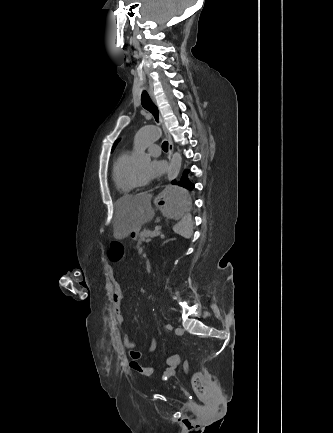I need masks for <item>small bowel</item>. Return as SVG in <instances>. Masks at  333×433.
Masks as SVG:
<instances>
[{
	"label": "small bowel",
	"instance_id": "1",
	"mask_svg": "<svg viewBox=\"0 0 333 433\" xmlns=\"http://www.w3.org/2000/svg\"><path fill=\"white\" fill-rule=\"evenodd\" d=\"M112 300H113V303L116 307L117 319L120 323H123L124 317L122 314L121 306H122V302L124 300V293L122 290L121 283L116 278L115 274L113 275V278H112ZM122 343H123V346L129 352L130 362L134 361V362L139 363V360L142 358L143 353L136 348L135 342L132 341L128 335H124L123 339H122ZM156 347H157V340L153 338L151 341V344L149 346V352L154 351L156 349ZM174 373H175V369H168L166 371L167 375H171Z\"/></svg>",
	"mask_w": 333,
	"mask_h": 433
}]
</instances>
